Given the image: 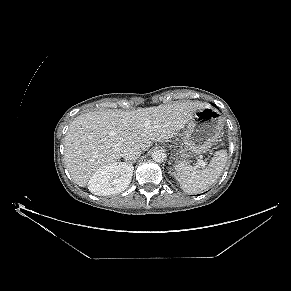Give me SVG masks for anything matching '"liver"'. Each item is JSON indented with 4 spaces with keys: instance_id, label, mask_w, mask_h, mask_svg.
Wrapping results in <instances>:
<instances>
[{
    "instance_id": "6515ba94",
    "label": "liver",
    "mask_w": 291,
    "mask_h": 291,
    "mask_svg": "<svg viewBox=\"0 0 291 291\" xmlns=\"http://www.w3.org/2000/svg\"><path fill=\"white\" fill-rule=\"evenodd\" d=\"M204 107L201 102L182 101L133 111L81 114L70 123L65 136L67 170L73 181L84 187L96 170L117 162L126 146L145 151L154 141L169 140Z\"/></svg>"
}]
</instances>
